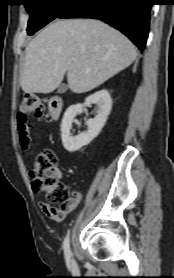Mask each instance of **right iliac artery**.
Returning <instances> with one entry per match:
<instances>
[{"mask_svg": "<svg viewBox=\"0 0 174 278\" xmlns=\"http://www.w3.org/2000/svg\"><path fill=\"white\" fill-rule=\"evenodd\" d=\"M63 249H64V254H65V258L67 260L70 259L72 253L70 250V239H69V234L66 235L64 242H63Z\"/></svg>", "mask_w": 174, "mask_h": 278, "instance_id": "82829eb1", "label": "right iliac artery"}]
</instances>
